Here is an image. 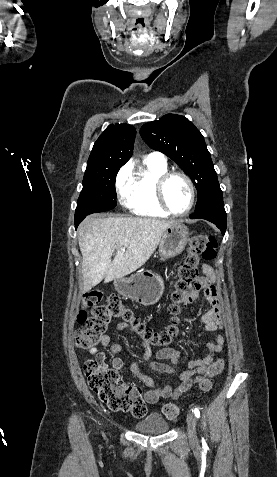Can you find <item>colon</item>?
<instances>
[{
	"mask_svg": "<svg viewBox=\"0 0 277 477\" xmlns=\"http://www.w3.org/2000/svg\"><path fill=\"white\" fill-rule=\"evenodd\" d=\"M216 246V239L210 235L199 234L191 239L188 252L179 267L174 283L170 308L173 323L166 330L155 332L146 327L133 310L125 307L117 296L109 297L107 302L102 304V290L94 289L83 297L82 310L77 316V321L85 324V328L76 331V346L80 349L96 347L101 343L110 323L115 318L122 319L128 324L131 332L139 335L144 342L169 346L179 332L178 316L200 288L201 279L198 269L200 258L214 259ZM87 309L90 310V315L87 314ZM223 368V359H218L211 364L204 376L198 379L199 388L203 391L208 390L211 385L209 378L221 373ZM84 372L91 390L111 410L130 412L136 417L145 414L146 406L141 398L140 389L136 386L126 385L104 359L87 360L84 364ZM163 413L168 419H174L179 415L180 408L177 404L169 403L164 406Z\"/></svg>",
	"mask_w": 277,
	"mask_h": 477,
	"instance_id": "colon-1",
	"label": "colon"
}]
</instances>
